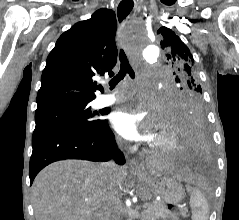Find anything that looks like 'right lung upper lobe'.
<instances>
[{
    "mask_svg": "<svg viewBox=\"0 0 239 220\" xmlns=\"http://www.w3.org/2000/svg\"><path fill=\"white\" fill-rule=\"evenodd\" d=\"M115 13L100 9L73 25L57 40L47 58L37 94V108L85 104L95 99L92 77L113 75L117 62Z\"/></svg>",
    "mask_w": 239,
    "mask_h": 220,
    "instance_id": "1",
    "label": "right lung upper lobe"
}]
</instances>
